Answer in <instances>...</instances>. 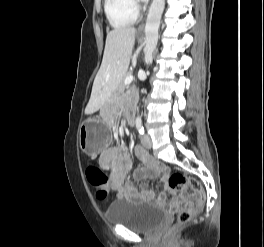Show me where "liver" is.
I'll return each mask as SVG.
<instances>
[{
    "instance_id": "liver-1",
    "label": "liver",
    "mask_w": 264,
    "mask_h": 247,
    "mask_svg": "<svg viewBox=\"0 0 264 247\" xmlns=\"http://www.w3.org/2000/svg\"><path fill=\"white\" fill-rule=\"evenodd\" d=\"M135 35L134 27L116 28L107 34L102 64L93 83L86 114L102 108L123 80L130 64Z\"/></svg>"
}]
</instances>
